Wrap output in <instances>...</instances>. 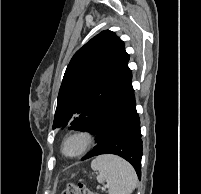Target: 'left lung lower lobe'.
I'll return each instance as SVG.
<instances>
[{"label": "left lung lower lobe", "instance_id": "0a47b994", "mask_svg": "<svg viewBox=\"0 0 201 194\" xmlns=\"http://www.w3.org/2000/svg\"><path fill=\"white\" fill-rule=\"evenodd\" d=\"M130 72L121 86L94 113L83 131L96 134V146L83 159L115 154L127 160L141 179L142 140Z\"/></svg>", "mask_w": 201, "mask_h": 194}]
</instances>
